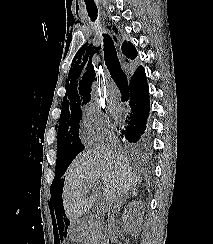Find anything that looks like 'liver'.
Returning <instances> with one entry per match:
<instances>
[{
  "instance_id": "6515ba94",
  "label": "liver",
  "mask_w": 213,
  "mask_h": 244,
  "mask_svg": "<svg viewBox=\"0 0 213 244\" xmlns=\"http://www.w3.org/2000/svg\"><path fill=\"white\" fill-rule=\"evenodd\" d=\"M103 183L106 203L125 197L141 177L130 167L123 152L107 145L87 150L74 159L65 173L62 200L67 218L76 222L89 209L95 197H86L98 181Z\"/></svg>"
}]
</instances>
